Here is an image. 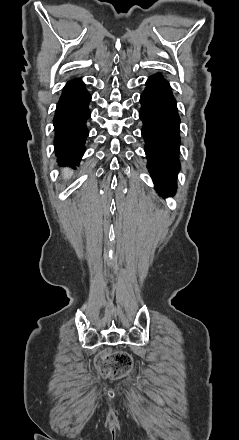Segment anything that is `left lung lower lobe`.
<instances>
[{
	"mask_svg": "<svg viewBox=\"0 0 239 440\" xmlns=\"http://www.w3.org/2000/svg\"><path fill=\"white\" fill-rule=\"evenodd\" d=\"M140 102L147 167L158 193L163 197L173 196L180 167V119L169 83L160 74L149 77Z\"/></svg>",
	"mask_w": 239,
	"mask_h": 440,
	"instance_id": "left-lung-lower-lobe-1",
	"label": "left lung lower lobe"
}]
</instances>
